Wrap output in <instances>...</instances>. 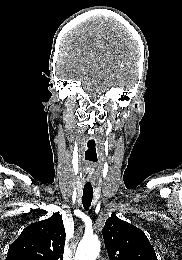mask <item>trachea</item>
I'll use <instances>...</instances> for the list:
<instances>
[{"label": "trachea", "instance_id": "trachea-1", "mask_svg": "<svg viewBox=\"0 0 182 260\" xmlns=\"http://www.w3.org/2000/svg\"><path fill=\"white\" fill-rule=\"evenodd\" d=\"M93 199V188L92 187H84L83 189V197L82 203L85 210H88L91 206Z\"/></svg>", "mask_w": 182, "mask_h": 260}]
</instances>
